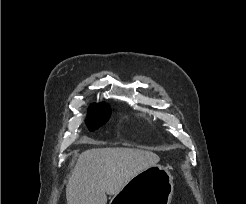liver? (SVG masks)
I'll list each match as a JSON object with an SVG mask.
<instances>
[{"label":"liver","mask_w":246,"mask_h":204,"mask_svg":"<svg viewBox=\"0 0 246 204\" xmlns=\"http://www.w3.org/2000/svg\"><path fill=\"white\" fill-rule=\"evenodd\" d=\"M160 157L147 150L106 147L82 152L66 186L67 204H106L133 177L156 165Z\"/></svg>","instance_id":"obj_1"}]
</instances>
